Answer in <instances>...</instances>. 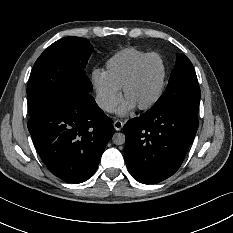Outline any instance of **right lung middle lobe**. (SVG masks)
Here are the masks:
<instances>
[{
    "label": "right lung middle lobe",
    "mask_w": 233,
    "mask_h": 233,
    "mask_svg": "<svg viewBox=\"0 0 233 233\" xmlns=\"http://www.w3.org/2000/svg\"><path fill=\"white\" fill-rule=\"evenodd\" d=\"M92 53V45L75 36L51 44L31 71L27 95L29 115L51 108L70 91L90 92L92 84L84 67Z\"/></svg>",
    "instance_id": "dd1d6c3e"
}]
</instances>
